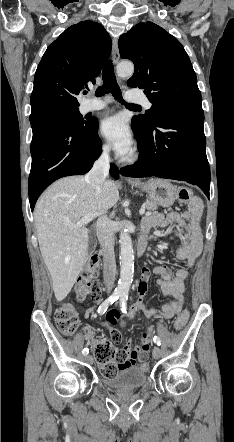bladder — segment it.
<instances>
[{
	"instance_id": "31cf9c89",
	"label": "bladder",
	"mask_w": 234,
	"mask_h": 442,
	"mask_svg": "<svg viewBox=\"0 0 234 442\" xmlns=\"http://www.w3.org/2000/svg\"><path fill=\"white\" fill-rule=\"evenodd\" d=\"M102 382L110 389L132 390L144 386L147 382V369L142 366H125L111 377H103Z\"/></svg>"
}]
</instances>
